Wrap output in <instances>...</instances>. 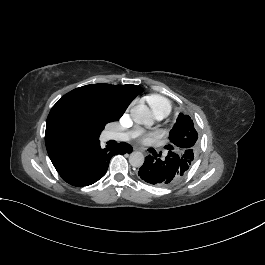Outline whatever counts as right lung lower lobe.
I'll return each instance as SVG.
<instances>
[{
    "label": "right lung lower lobe",
    "instance_id": "right-lung-lower-lobe-1",
    "mask_svg": "<svg viewBox=\"0 0 265 265\" xmlns=\"http://www.w3.org/2000/svg\"><path fill=\"white\" fill-rule=\"evenodd\" d=\"M132 146L120 143L115 148H101L100 142L83 148L58 166H54L64 181L73 186H88L101 179L107 172L110 159L116 154L131 153Z\"/></svg>",
    "mask_w": 265,
    "mask_h": 265
}]
</instances>
